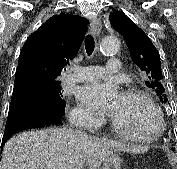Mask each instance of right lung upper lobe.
<instances>
[{
    "instance_id": "obj_1",
    "label": "right lung upper lobe",
    "mask_w": 177,
    "mask_h": 169,
    "mask_svg": "<svg viewBox=\"0 0 177 169\" xmlns=\"http://www.w3.org/2000/svg\"><path fill=\"white\" fill-rule=\"evenodd\" d=\"M86 20L72 14L49 18L25 42L20 53L15 81L29 79L54 82L82 44Z\"/></svg>"
}]
</instances>
